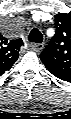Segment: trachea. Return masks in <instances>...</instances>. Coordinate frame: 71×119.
<instances>
[{
    "instance_id": "trachea-1",
    "label": "trachea",
    "mask_w": 71,
    "mask_h": 119,
    "mask_svg": "<svg viewBox=\"0 0 71 119\" xmlns=\"http://www.w3.org/2000/svg\"><path fill=\"white\" fill-rule=\"evenodd\" d=\"M28 40L30 42L41 43L43 41V35L37 28H34L31 30Z\"/></svg>"
}]
</instances>
